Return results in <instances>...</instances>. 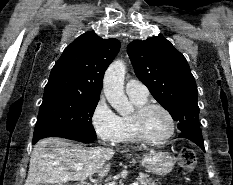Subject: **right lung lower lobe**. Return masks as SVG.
Returning a JSON list of instances; mask_svg holds the SVG:
<instances>
[{
	"label": "right lung lower lobe",
	"mask_w": 233,
	"mask_h": 185,
	"mask_svg": "<svg viewBox=\"0 0 233 185\" xmlns=\"http://www.w3.org/2000/svg\"><path fill=\"white\" fill-rule=\"evenodd\" d=\"M76 141H80V142H93L95 139H91V138H76Z\"/></svg>",
	"instance_id": "98d812e1"
}]
</instances>
